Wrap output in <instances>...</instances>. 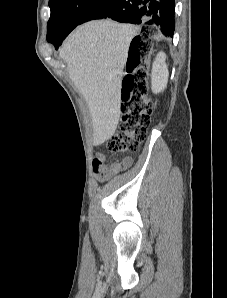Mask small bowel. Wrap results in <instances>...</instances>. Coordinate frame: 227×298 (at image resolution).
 <instances>
[{
    "instance_id": "c3829d8e",
    "label": "small bowel",
    "mask_w": 227,
    "mask_h": 298,
    "mask_svg": "<svg viewBox=\"0 0 227 298\" xmlns=\"http://www.w3.org/2000/svg\"><path fill=\"white\" fill-rule=\"evenodd\" d=\"M132 164V158L127 156L116 160L111 164L106 163V156L102 153H97L93 160L94 172L98 180L103 181L112 175L128 168Z\"/></svg>"
}]
</instances>
